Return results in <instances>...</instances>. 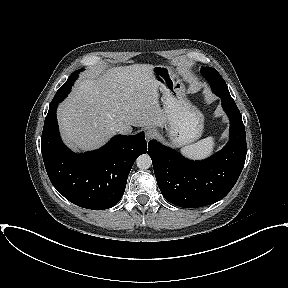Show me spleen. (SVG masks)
<instances>
[{
    "instance_id": "3e777b00",
    "label": "spleen",
    "mask_w": 288,
    "mask_h": 288,
    "mask_svg": "<svg viewBox=\"0 0 288 288\" xmlns=\"http://www.w3.org/2000/svg\"><path fill=\"white\" fill-rule=\"evenodd\" d=\"M214 146V138L207 137L197 143L183 147L181 153L188 158L200 160L209 157L213 153Z\"/></svg>"
}]
</instances>
